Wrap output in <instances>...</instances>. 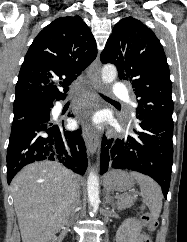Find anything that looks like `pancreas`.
<instances>
[{"label":"pancreas","instance_id":"1","mask_svg":"<svg viewBox=\"0 0 187 242\" xmlns=\"http://www.w3.org/2000/svg\"><path fill=\"white\" fill-rule=\"evenodd\" d=\"M135 200H136L135 196H129V195L118 196L117 203H116L118 210H122L127 207L133 206Z\"/></svg>","mask_w":187,"mask_h":242}]
</instances>
